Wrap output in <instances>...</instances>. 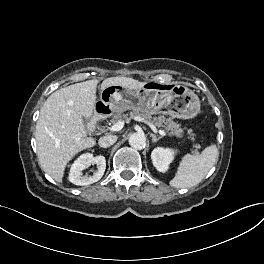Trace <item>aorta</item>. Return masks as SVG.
I'll return each mask as SVG.
<instances>
[{"label":"aorta","instance_id":"aorta-1","mask_svg":"<svg viewBox=\"0 0 264 264\" xmlns=\"http://www.w3.org/2000/svg\"><path fill=\"white\" fill-rule=\"evenodd\" d=\"M129 144L132 148L141 150L146 145V138L144 134L141 133H133L129 138Z\"/></svg>","mask_w":264,"mask_h":264}]
</instances>
